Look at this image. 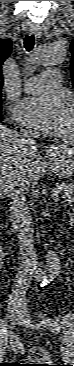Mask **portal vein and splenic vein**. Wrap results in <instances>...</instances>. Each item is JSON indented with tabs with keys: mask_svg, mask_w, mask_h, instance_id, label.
Returning a JSON list of instances; mask_svg holds the SVG:
<instances>
[{
	"mask_svg": "<svg viewBox=\"0 0 74 366\" xmlns=\"http://www.w3.org/2000/svg\"><path fill=\"white\" fill-rule=\"evenodd\" d=\"M59 192H60L59 190L58 191H56V190L53 191L52 196H53L54 199L58 198V193Z\"/></svg>",
	"mask_w": 74,
	"mask_h": 366,
	"instance_id": "1",
	"label": "portal vein and splenic vein"
}]
</instances>
